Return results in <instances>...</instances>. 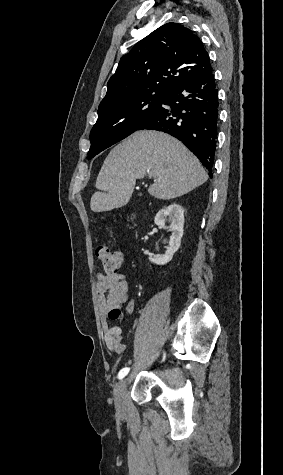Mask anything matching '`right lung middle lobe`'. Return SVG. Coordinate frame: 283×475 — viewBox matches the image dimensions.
I'll use <instances>...</instances> for the list:
<instances>
[{"mask_svg":"<svg viewBox=\"0 0 283 475\" xmlns=\"http://www.w3.org/2000/svg\"><path fill=\"white\" fill-rule=\"evenodd\" d=\"M166 92L147 93L125 101L100 106L98 119L90 133L88 159L137 131L157 109Z\"/></svg>","mask_w":283,"mask_h":475,"instance_id":"dd1d6c3e","label":"right lung middle lobe"}]
</instances>
